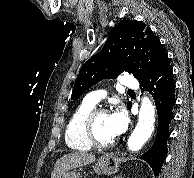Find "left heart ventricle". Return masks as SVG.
I'll return each instance as SVG.
<instances>
[{"mask_svg":"<svg viewBox=\"0 0 194 178\" xmlns=\"http://www.w3.org/2000/svg\"><path fill=\"white\" fill-rule=\"evenodd\" d=\"M95 133L101 141H109L115 137L110 129L109 114H101L96 118Z\"/></svg>","mask_w":194,"mask_h":178,"instance_id":"b2bd125f","label":"left heart ventricle"}]
</instances>
